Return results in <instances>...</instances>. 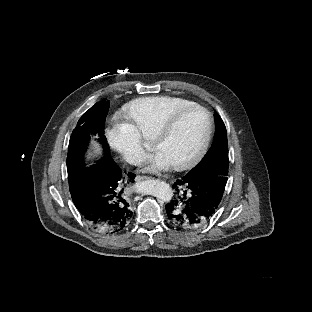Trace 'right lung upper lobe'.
<instances>
[{"instance_id": "1", "label": "right lung upper lobe", "mask_w": 312, "mask_h": 312, "mask_svg": "<svg viewBox=\"0 0 312 312\" xmlns=\"http://www.w3.org/2000/svg\"><path fill=\"white\" fill-rule=\"evenodd\" d=\"M109 157H110V156H109ZM104 160H106V159H103L102 161H104ZM83 167H85L84 163H83L82 166H80V167L78 168V171H79V172L82 171V170H83ZM103 234H105V233H103Z\"/></svg>"}]
</instances>
